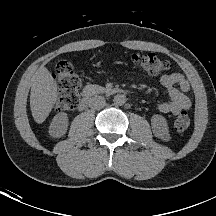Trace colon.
Segmentation results:
<instances>
[{"instance_id":"5ec220e1","label":"colon","mask_w":216,"mask_h":216,"mask_svg":"<svg viewBox=\"0 0 216 216\" xmlns=\"http://www.w3.org/2000/svg\"><path fill=\"white\" fill-rule=\"evenodd\" d=\"M131 61L135 67L150 74L158 75L170 68V63L159 57L155 53H135L131 56ZM54 78L60 88V95L57 102L59 110H73L79 103V91L81 88V78L75 73L70 63L59 62L54 73ZM190 125V118L186 112L177 116L174 127L177 131H184Z\"/></svg>"}]
</instances>
